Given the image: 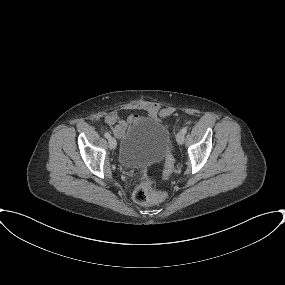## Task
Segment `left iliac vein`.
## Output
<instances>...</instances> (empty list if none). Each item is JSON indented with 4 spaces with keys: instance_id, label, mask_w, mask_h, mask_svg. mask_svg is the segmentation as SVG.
<instances>
[{
    "instance_id": "4c4485c4",
    "label": "left iliac vein",
    "mask_w": 285,
    "mask_h": 285,
    "mask_svg": "<svg viewBox=\"0 0 285 285\" xmlns=\"http://www.w3.org/2000/svg\"><path fill=\"white\" fill-rule=\"evenodd\" d=\"M184 138V133L182 131H180L176 136V140L179 144H183Z\"/></svg>"
}]
</instances>
